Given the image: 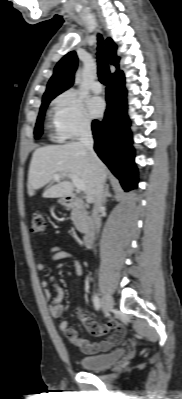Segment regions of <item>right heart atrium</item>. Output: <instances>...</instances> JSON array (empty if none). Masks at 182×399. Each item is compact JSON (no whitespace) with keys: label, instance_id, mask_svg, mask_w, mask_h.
<instances>
[{"label":"right heart atrium","instance_id":"d8ad5b80","mask_svg":"<svg viewBox=\"0 0 182 399\" xmlns=\"http://www.w3.org/2000/svg\"><path fill=\"white\" fill-rule=\"evenodd\" d=\"M53 124L60 139H74L90 130L92 122L83 100L73 90L53 101Z\"/></svg>","mask_w":182,"mask_h":399}]
</instances>
